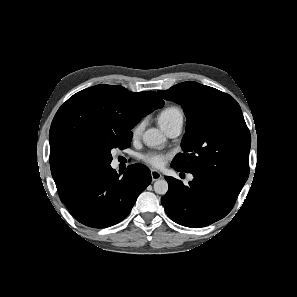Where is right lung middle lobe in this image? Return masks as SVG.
I'll use <instances>...</instances> for the list:
<instances>
[{
    "instance_id": "right-lung-middle-lobe-1",
    "label": "right lung middle lobe",
    "mask_w": 297,
    "mask_h": 297,
    "mask_svg": "<svg viewBox=\"0 0 297 297\" xmlns=\"http://www.w3.org/2000/svg\"><path fill=\"white\" fill-rule=\"evenodd\" d=\"M132 133L111 136L98 142L89 154L90 162L94 169L110 165L112 161L111 149L130 146Z\"/></svg>"
}]
</instances>
